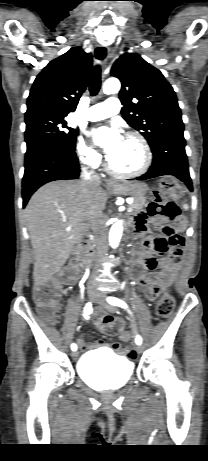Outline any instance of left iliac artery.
I'll return each mask as SVG.
<instances>
[{
    "mask_svg": "<svg viewBox=\"0 0 208 461\" xmlns=\"http://www.w3.org/2000/svg\"><path fill=\"white\" fill-rule=\"evenodd\" d=\"M107 301L111 304V305H114V306H119V307H122V308H127V305L125 304V302H123L122 300L118 299V298H115V297H108L107 298ZM136 344L137 345H140L142 343V338L141 336H137L136 337Z\"/></svg>",
    "mask_w": 208,
    "mask_h": 461,
    "instance_id": "44dca946",
    "label": "left iliac artery"
}]
</instances>
